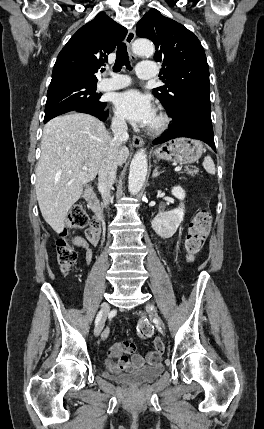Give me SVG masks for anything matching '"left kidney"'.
I'll list each match as a JSON object with an SVG mask.
<instances>
[{"instance_id":"5707ae66","label":"left kidney","mask_w":264,"mask_h":429,"mask_svg":"<svg viewBox=\"0 0 264 429\" xmlns=\"http://www.w3.org/2000/svg\"><path fill=\"white\" fill-rule=\"evenodd\" d=\"M174 197L183 201L185 198V191L180 186H174L171 190ZM184 217V204L174 210L160 212L152 220L151 225L153 230L162 238H170L177 231L179 225Z\"/></svg>"}]
</instances>
